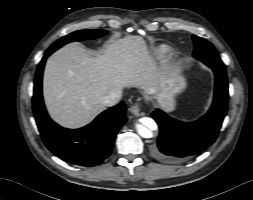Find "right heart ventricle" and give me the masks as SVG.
<instances>
[{
    "instance_id": "e07e8e85",
    "label": "right heart ventricle",
    "mask_w": 253,
    "mask_h": 200,
    "mask_svg": "<svg viewBox=\"0 0 253 200\" xmlns=\"http://www.w3.org/2000/svg\"><path fill=\"white\" fill-rule=\"evenodd\" d=\"M158 51H159L160 53H164V52L167 51V48L163 46V47H160V48L158 49Z\"/></svg>"
}]
</instances>
